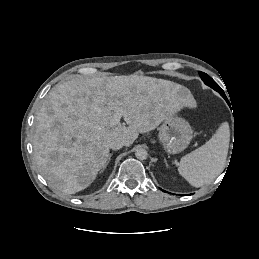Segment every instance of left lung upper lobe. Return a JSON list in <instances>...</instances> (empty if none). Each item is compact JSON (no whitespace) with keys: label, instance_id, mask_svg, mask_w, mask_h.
Returning <instances> with one entry per match:
<instances>
[{"label":"left lung upper lobe","instance_id":"5c2ea615","mask_svg":"<svg viewBox=\"0 0 259 259\" xmlns=\"http://www.w3.org/2000/svg\"><path fill=\"white\" fill-rule=\"evenodd\" d=\"M199 75L206 85L210 86L217 92L222 91L220 86L209 75H207L206 73H203L201 71H199Z\"/></svg>","mask_w":259,"mask_h":259}]
</instances>
